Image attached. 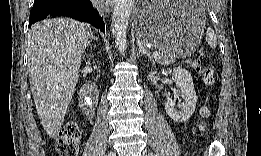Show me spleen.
Returning <instances> with one entry per match:
<instances>
[{
  "label": "spleen",
  "instance_id": "3e777b00",
  "mask_svg": "<svg viewBox=\"0 0 261 156\" xmlns=\"http://www.w3.org/2000/svg\"><path fill=\"white\" fill-rule=\"evenodd\" d=\"M206 41L211 48H216L217 38H216V35H215L213 29H211L210 27L207 29V32H206Z\"/></svg>",
  "mask_w": 261,
  "mask_h": 156
}]
</instances>
